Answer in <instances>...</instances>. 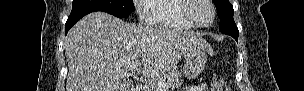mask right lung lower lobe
<instances>
[{"mask_svg":"<svg viewBox=\"0 0 304 91\" xmlns=\"http://www.w3.org/2000/svg\"><path fill=\"white\" fill-rule=\"evenodd\" d=\"M98 11L97 9L94 8H77V9H72L71 14L69 15L67 22L65 24V30L66 34L69 31V29L77 22L79 21L83 16L91 13Z\"/></svg>","mask_w":304,"mask_h":91,"instance_id":"right-lung-lower-lobe-1","label":"right lung lower lobe"}]
</instances>
